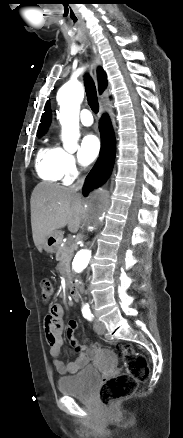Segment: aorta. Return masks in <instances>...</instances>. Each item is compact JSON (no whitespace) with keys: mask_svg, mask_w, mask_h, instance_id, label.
Returning a JSON list of instances; mask_svg holds the SVG:
<instances>
[{"mask_svg":"<svg viewBox=\"0 0 183 438\" xmlns=\"http://www.w3.org/2000/svg\"><path fill=\"white\" fill-rule=\"evenodd\" d=\"M84 97V89L78 81H68L60 87L57 92V101L60 105L59 120L62 126V140L64 147L75 150L76 140L79 136V110ZM96 211H101L100 201L95 200ZM92 259L91 251L88 249L79 250L73 260L72 269L76 275L84 271Z\"/></svg>","mask_w":183,"mask_h":438,"instance_id":"1","label":"aorta"}]
</instances>
